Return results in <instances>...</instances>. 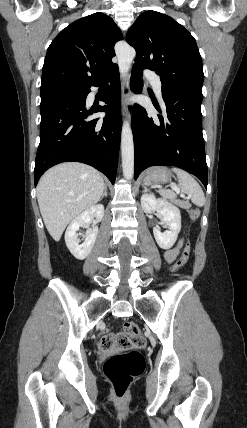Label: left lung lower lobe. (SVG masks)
Instances as JSON below:
<instances>
[{
  "label": "left lung lower lobe",
  "instance_id": "1",
  "mask_svg": "<svg viewBox=\"0 0 247 428\" xmlns=\"http://www.w3.org/2000/svg\"><path fill=\"white\" fill-rule=\"evenodd\" d=\"M131 90H142V69L133 67ZM164 114L150 117L138 104L132 109L135 179L150 166L171 165L198 177L207 188V164L202 134V98L162 89ZM161 112L159 104L154 105Z\"/></svg>",
  "mask_w": 247,
  "mask_h": 428
}]
</instances>
